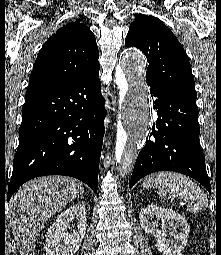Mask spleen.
<instances>
[{
  "mask_svg": "<svg viewBox=\"0 0 221 255\" xmlns=\"http://www.w3.org/2000/svg\"><path fill=\"white\" fill-rule=\"evenodd\" d=\"M145 188H158L175 195L187 202V209L199 213L208 206V200L203 191L192 180L175 172H159L147 176L143 182Z\"/></svg>",
  "mask_w": 221,
  "mask_h": 255,
  "instance_id": "3e777b00",
  "label": "spleen"
}]
</instances>
